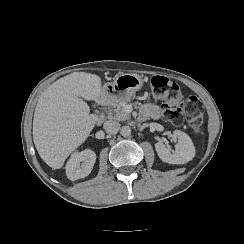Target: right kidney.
<instances>
[{
    "label": "right kidney",
    "instance_id": "ca27d5eb",
    "mask_svg": "<svg viewBox=\"0 0 244 244\" xmlns=\"http://www.w3.org/2000/svg\"><path fill=\"white\" fill-rule=\"evenodd\" d=\"M95 160L96 154L90 149L74 154L66 166L68 178L75 181L88 176L94 166Z\"/></svg>",
    "mask_w": 244,
    "mask_h": 244
}]
</instances>
